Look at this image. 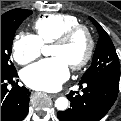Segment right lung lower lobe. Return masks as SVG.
I'll use <instances>...</instances> for the list:
<instances>
[{
	"label": "right lung lower lobe",
	"mask_w": 121,
	"mask_h": 121,
	"mask_svg": "<svg viewBox=\"0 0 121 121\" xmlns=\"http://www.w3.org/2000/svg\"><path fill=\"white\" fill-rule=\"evenodd\" d=\"M15 77L17 72L1 73V121H21L28 112L29 90L18 85L11 90L7 88Z\"/></svg>",
	"instance_id": "1"
}]
</instances>
